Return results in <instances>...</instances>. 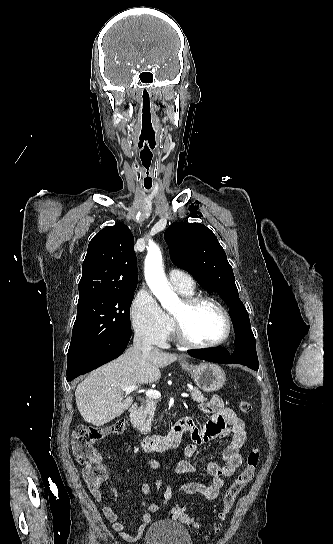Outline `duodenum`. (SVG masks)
<instances>
[{
    "label": "duodenum",
    "mask_w": 333,
    "mask_h": 544,
    "mask_svg": "<svg viewBox=\"0 0 333 544\" xmlns=\"http://www.w3.org/2000/svg\"><path fill=\"white\" fill-rule=\"evenodd\" d=\"M138 404L134 403L129 408V414L131 418L136 416ZM186 433V426L184 419L179 420L170 430L166 436L150 435L143 437L140 440V446L144 452H166L176 448L184 434Z\"/></svg>",
    "instance_id": "obj_1"
}]
</instances>
